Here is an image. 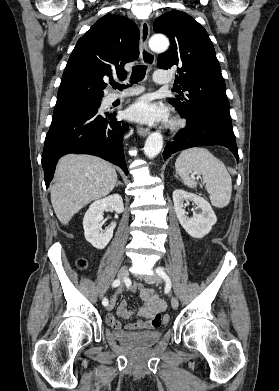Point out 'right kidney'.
<instances>
[{
	"instance_id": "ca27d5eb",
	"label": "right kidney",
	"mask_w": 279,
	"mask_h": 391,
	"mask_svg": "<svg viewBox=\"0 0 279 391\" xmlns=\"http://www.w3.org/2000/svg\"><path fill=\"white\" fill-rule=\"evenodd\" d=\"M110 207L116 213L120 214L124 211L122 197L119 194H113L108 197L94 201L86 211L83 218V228L86 240L97 249H104L111 238L116 223H112L104 232L100 231V224L103 220V214Z\"/></svg>"
}]
</instances>
